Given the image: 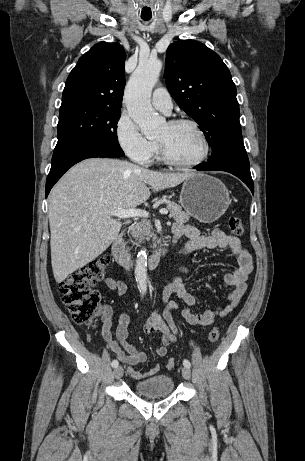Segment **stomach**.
Segmentation results:
<instances>
[{"label": "stomach", "mask_w": 305, "mask_h": 461, "mask_svg": "<svg viewBox=\"0 0 305 461\" xmlns=\"http://www.w3.org/2000/svg\"><path fill=\"white\" fill-rule=\"evenodd\" d=\"M180 204L187 213L199 221L212 223L229 207V192L219 179L197 173L184 181L180 192Z\"/></svg>", "instance_id": "0dacf381"}]
</instances>
